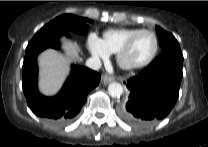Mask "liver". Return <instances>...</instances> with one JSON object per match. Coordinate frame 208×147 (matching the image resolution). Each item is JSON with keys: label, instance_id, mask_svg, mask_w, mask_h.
I'll return each instance as SVG.
<instances>
[{"label": "liver", "instance_id": "6515ba94", "mask_svg": "<svg viewBox=\"0 0 208 147\" xmlns=\"http://www.w3.org/2000/svg\"><path fill=\"white\" fill-rule=\"evenodd\" d=\"M61 43L65 54L47 49L38 57L39 89L44 95L57 93L70 72V65L80 60L81 48L76 42L62 37Z\"/></svg>", "mask_w": 208, "mask_h": 147}]
</instances>
